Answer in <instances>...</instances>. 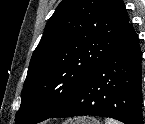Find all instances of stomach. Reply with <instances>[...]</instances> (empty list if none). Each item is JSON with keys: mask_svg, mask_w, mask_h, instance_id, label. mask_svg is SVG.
Wrapping results in <instances>:
<instances>
[{"mask_svg": "<svg viewBox=\"0 0 145 124\" xmlns=\"http://www.w3.org/2000/svg\"><path fill=\"white\" fill-rule=\"evenodd\" d=\"M72 124H100L97 120L93 118H79L76 119Z\"/></svg>", "mask_w": 145, "mask_h": 124, "instance_id": "0dacf381", "label": "stomach"}]
</instances>
